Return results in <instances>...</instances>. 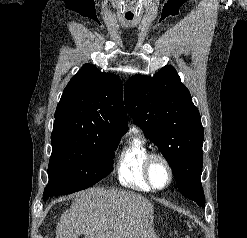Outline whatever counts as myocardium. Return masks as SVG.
<instances>
[{"label": "myocardium", "instance_id": "myocardium-1", "mask_svg": "<svg viewBox=\"0 0 247 238\" xmlns=\"http://www.w3.org/2000/svg\"><path fill=\"white\" fill-rule=\"evenodd\" d=\"M155 161L162 162L168 170V180L162 186L156 185L151 176V167ZM143 174H144V178L146 182L148 183V185L154 190L166 189L167 187L171 185L174 179V169L172 167V164L170 163V161L168 160L166 156L160 153H150L148 155V157L145 160L144 166H143Z\"/></svg>", "mask_w": 247, "mask_h": 238}]
</instances>
